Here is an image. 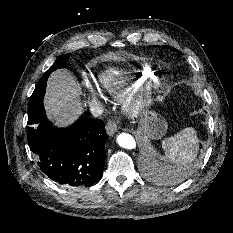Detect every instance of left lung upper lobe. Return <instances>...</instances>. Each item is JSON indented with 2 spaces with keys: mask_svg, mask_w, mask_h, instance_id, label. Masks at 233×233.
I'll return each mask as SVG.
<instances>
[{
  "mask_svg": "<svg viewBox=\"0 0 233 233\" xmlns=\"http://www.w3.org/2000/svg\"><path fill=\"white\" fill-rule=\"evenodd\" d=\"M164 47L169 48V49H171V50H174V51H177L178 53H180L178 50H176L175 48H172V47H170V46H164Z\"/></svg>",
  "mask_w": 233,
  "mask_h": 233,
  "instance_id": "5c2ea615",
  "label": "left lung upper lobe"
}]
</instances>
